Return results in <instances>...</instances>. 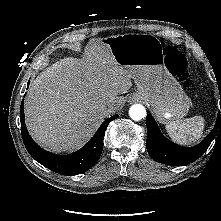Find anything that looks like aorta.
Listing matches in <instances>:
<instances>
[{
  "instance_id": "aorta-1",
  "label": "aorta",
  "mask_w": 221,
  "mask_h": 221,
  "mask_svg": "<svg viewBox=\"0 0 221 221\" xmlns=\"http://www.w3.org/2000/svg\"><path fill=\"white\" fill-rule=\"evenodd\" d=\"M129 115L133 120L139 121L146 116V110L143 105L134 104L130 107Z\"/></svg>"
}]
</instances>
